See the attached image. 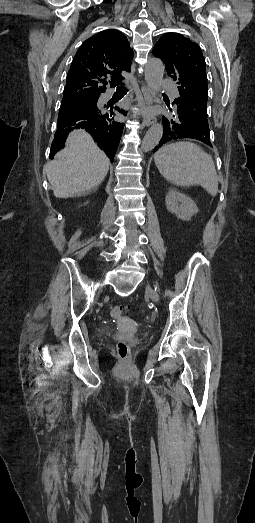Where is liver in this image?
I'll return each mask as SVG.
<instances>
[{
	"mask_svg": "<svg viewBox=\"0 0 255 523\" xmlns=\"http://www.w3.org/2000/svg\"><path fill=\"white\" fill-rule=\"evenodd\" d=\"M110 166L106 154L84 130L69 134L64 150L44 166L55 198L81 196L103 182Z\"/></svg>",
	"mask_w": 255,
	"mask_h": 523,
	"instance_id": "obj_1",
	"label": "liver"
}]
</instances>
